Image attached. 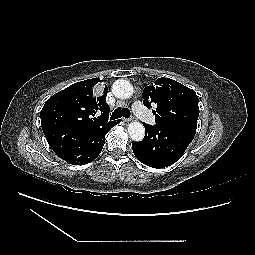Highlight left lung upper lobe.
<instances>
[{
    "label": "left lung upper lobe",
    "instance_id": "left-lung-upper-lobe-1",
    "mask_svg": "<svg viewBox=\"0 0 255 255\" xmlns=\"http://www.w3.org/2000/svg\"><path fill=\"white\" fill-rule=\"evenodd\" d=\"M143 103L155 105L156 125L174 126L196 131L199 116L198 97L194 90L169 79L158 78L142 94Z\"/></svg>",
    "mask_w": 255,
    "mask_h": 255
}]
</instances>
